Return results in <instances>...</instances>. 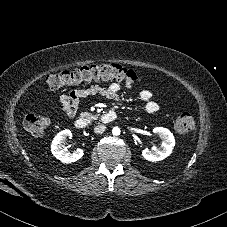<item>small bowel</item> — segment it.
<instances>
[{"instance_id": "obj_1", "label": "small bowel", "mask_w": 227, "mask_h": 227, "mask_svg": "<svg viewBox=\"0 0 227 227\" xmlns=\"http://www.w3.org/2000/svg\"><path fill=\"white\" fill-rule=\"evenodd\" d=\"M121 90V85L117 82L111 83L108 87L92 85L85 89H75L69 93H63L59 96L58 102L62 110L69 116L73 117L80 99L91 95H99L107 99H116ZM141 100L145 103V110L149 114L158 111L159 106L153 99V94L148 89H142L139 93Z\"/></svg>"}]
</instances>
